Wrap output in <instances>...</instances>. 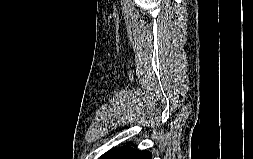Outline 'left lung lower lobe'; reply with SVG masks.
I'll use <instances>...</instances> for the list:
<instances>
[{
    "label": "left lung lower lobe",
    "instance_id": "1",
    "mask_svg": "<svg viewBox=\"0 0 253 159\" xmlns=\"http://www.w3.org/2000/svg\"><path fill=\"white\" fill-rule=\"evenodd\" d=\"M99 159H151V153L123 146L108 151Z\"/></svg>",
    "mask_w": 253,
    "mask_h": 159
}]
</instances>
